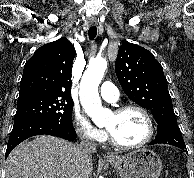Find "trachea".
Returning <instances> with one entry per match:
<instances>
[{
  "instance_id": "trachea-1",
  "label": "trachea",
  "mask_w": 194,
  "mask_h": 178,
  "mask_svg": "<svg viewBox=\"0 0 194 178\" xmlns=\"http://www.w3.org/2000/svg\"><path fill=\"white\" fill-rule=\"evenodd\" d=\"M88 35H89L90 40H94V38L97 35V27L96 26L90 27V29L88 31Z\"/></svg>"
}]
</instances>
